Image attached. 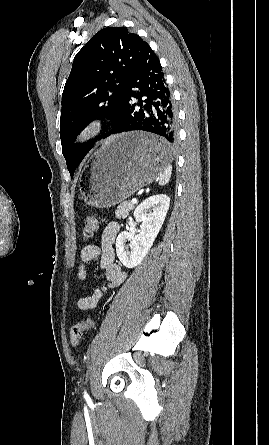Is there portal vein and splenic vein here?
Masks as SVG:
<instances>
[{
  "instance_id": "18ae733b",
  "label": "portal vein and splenic vein",
  "mask_w": 269,
  "mask_h": 445,
  "mask_svg": "<svg viewBox=\"0 0 269 445\" xmlns=\"http://www.w3.org/2000/svg\"><path fill=\"white\" fill-rule=\"evenodd\" d=\"M131 203H132V204H137V199H136V198H133V199L131 200Z\"/></svg>"
}]
</instances>
